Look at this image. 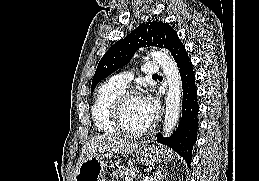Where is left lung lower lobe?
<instances>
[{
	"label": "left lung lower lobe",
	"mask_w": 259,
	"mask_h": 181,
	"mask_svg": "<svg viewBox=\"0 0 259 181\" xmlns=\"http://www.w3.org/2000/svg\"><path fill=\"white\" fill-rule=\"evenodd\" d=\"M171 54L177 63L182 80L183 107L182 118L176 131L171 137L164 138L160 133L157 136L159 143L168 145L182 156L187 165L192 160L193 145L197 140L198 111L197 89L192 63L187 55L185 46L179 40L171 49Z\"/></svg>",
	"instance_id": "left-lung-lower-lobe-1"
}]
</instances>
